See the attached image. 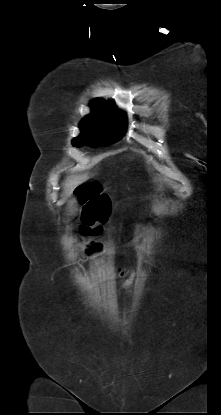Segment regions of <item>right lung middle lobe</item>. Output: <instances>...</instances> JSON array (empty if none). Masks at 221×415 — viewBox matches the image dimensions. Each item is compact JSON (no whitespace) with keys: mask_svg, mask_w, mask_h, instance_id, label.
<instances>
[{"mask_svg":"<svg viewBox=\"0 0 221 415\" xmlns=\"http://www.w3.org/2000/svg\"><path fill=\"white\" fill-rule=\"evenodd\" d=\"M126 118L120 112L93 109L80 122L81 135L73 139V146L83 144L106 146L119 141L126 129Z\"/></svg>","mask_w":221,"mask_h":415,"instance_id":"dd1d6c3e","label":"right lung middle lobe"}]
</instances>
